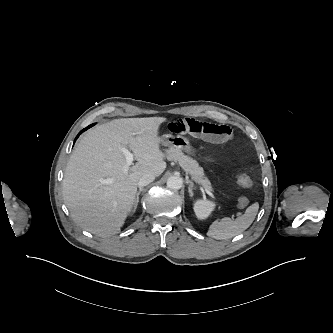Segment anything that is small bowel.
Segmentation results:
<instances>
[{"label": "small bowel", "instance_id": "1", "mask_svg": "<svg viewBox=\"0 0 333 333\" xmlns=\"http://www.w3.org/2000/svg\"><path fill=\"white\" fill-rule=\"evenodd\" d=\"M166 128L173 134L190 135L210 143H224L232 138V130L225 124H215L191 117L168 120Z\"/></svg>", "mask_w": 333, "mask_h": 333}]
</instances>
